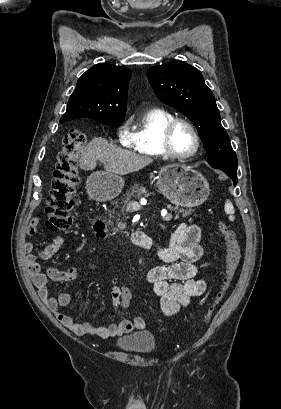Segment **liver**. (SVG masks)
Wrapping results in <instances>:
<instances>
[{"instance_id":"6515ba94","label":"liver","mask_w":281,"mask_h":409,"mask_svg":"<svg viewBox=\"0 0 281 409\" xmlns=\"http://www.w3.org/2000/svg\"><path fill=\"white\" fill-rule=\"evenodd\" d=\"M98 160L103 162L105 172H113V174H128L144 168L154 158L144 156V154H136L132 150H124L113 146L105 138H93L91 142L86 144V148L82 150L79 160L80 168L83 170H94Z\"/></svg>"}]
</instances>
